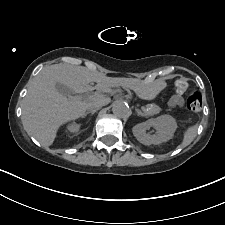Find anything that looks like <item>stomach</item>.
<instances>
[{
    "label": "stomach",
    "instance_id": "0dacf381",
    "mask_svg": "<svg viewBox=\"0 0 225 225\" xmlns=\"http://www.w3.org/2000/svg\"><path fill=\"white\" fill-rule=\"evenodd\" d=\"M157 92H158L157 89L149 90V91H147L145 98L152 99L156 96Z\"/></svg>",
    "mask_w": 225,
    "mask_h": 225
}]
</instances>
